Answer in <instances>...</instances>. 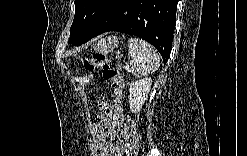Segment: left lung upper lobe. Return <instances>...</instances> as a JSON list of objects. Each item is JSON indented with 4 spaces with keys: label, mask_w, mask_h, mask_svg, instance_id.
Segmentation results:
<instances>
[{
    "label": "left lung upper lobe",
    "mask_w": 247,
    "mask_h": 156,
    "mask_svg": "<svg viewBox=\"0 0 247 156\" xmlns=\"http://www.w3.org/2000/svg\"><path fill=\"white\" fill-rule=\"evenodd\" d=\"M111 0H75V16L70 28L69 43L80 46Z\"/></svg>",
    "instance_id": "1"
}]
</instances>
